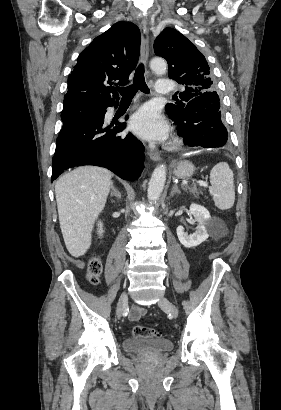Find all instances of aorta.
<instances>
[{"label": "aorta", "mask_w": 281, "mask_h": 410, "mask_svg": "<svg viewBox=\"0 0 281 410\" xmlns=\"http://www.w3.org/2000/svg\"><path fill=\"white\" fill-rule=\"evenodd\" d=\"M151 69L158 73L164 74L167 71V63L163 59H153L150 63ZM166 181V166L159 165L153 171L148 184L147 197L151 202L157 201L163 191Z\"/></svg>", "instance_id": "762f6f07"}]
</instances>
